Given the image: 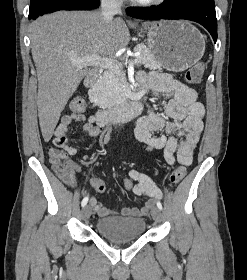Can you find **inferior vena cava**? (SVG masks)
<instances>
[{"label":"inferior vena cava","instance_id":"inferior-vena-cava-1","mask_svg":"<svg viewBox=\"0 0 247 280\" xmlns=\"http://www.w3.org/2000/svg\"><path fill=\"white\" fill-rule=\"evenodd\" d=\"M121 13L120 0H101V14L106 23L113 20L114 15Z\"/></svg>","mask_w":247,"mask_h":280}]
</instances>
